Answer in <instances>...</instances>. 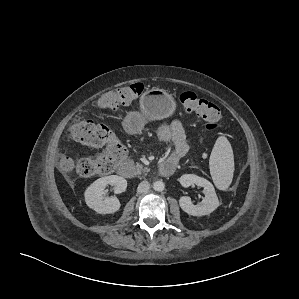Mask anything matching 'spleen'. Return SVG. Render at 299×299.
I'll return each instance as SVG.
<instances>
[{"mask_svg": "<svg viewBox=\"0 0 299 299\" xmlns=\"http://www.w3.org/2000/svg\"><path fill=\"white\" fill-rule=\"evenodd\" d=\"M209 167L215 185L226 190L232 182L234 155L230 142L224 136L218 137L212 149Z\"/></svg>", "mask_w": 299, "mask_h": 299, "instance_id": "1", "label": "spleen"}]
</instances>
